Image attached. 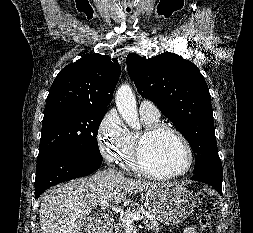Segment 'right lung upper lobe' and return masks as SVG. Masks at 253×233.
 <instances>
[{
  "instance_id": "cb5924a9",
  "label": "right lung upper lobe",
  "mask_w": 253,
  "mask_h": 233,
  "mask_svg": "<svg viewBox=\"0 0 253 233\" xmlns=\"http://www.w3.org/2000/svg\"><path fill=\"white\" fill-rule=\"evenodd\" d=\"M121 74L117 59L89 54L58 73L47 104L87 105L107 109Z\"/></svg>"
}]
</instances>
